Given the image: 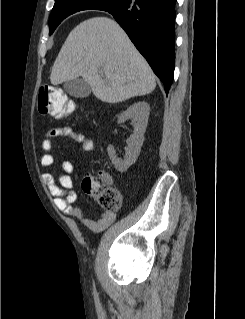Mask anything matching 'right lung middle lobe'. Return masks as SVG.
<instances>
[{"mask_svg": "<svg viewBox=\"0 0 245 319\" xmlns=\"http://www.w3.org/2000/svg\"><path fill=\"white\" fill-rule=\"evenodd\" d=\"M123 0H55L49 18L50 35L67 16L85 9H111Z\"/></svg>", "mask_w": 245, "mask_h": 319, "instance_id": "dd1d6c3e", "label": "right lung middle lobe"}]
</instances>
